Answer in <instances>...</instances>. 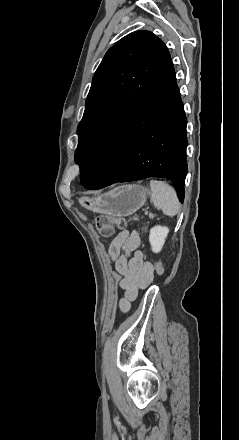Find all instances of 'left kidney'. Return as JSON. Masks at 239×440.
<instances>
[{
  "mask_svg": "<svg viewBox=\"0 0 239 440\" xmlns=\"http://www.w3.org/2000/svg\"><path fill=\"white\" fill-rule=\"evenodd\" d=\"M168 234L169 230L165 226H154V228H151L149 242L152 252H155V254L161 252Z\"/></svg>",
  "mask_w": 239,
  "mask_h": 440,
  "instance_id": "5707ae66",
  "label": "left kidney"
}]
</instances>
